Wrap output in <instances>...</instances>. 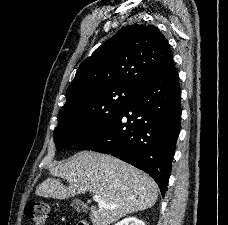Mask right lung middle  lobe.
<instances>
[{
	"label": "right lung middle lobe",
	"instance_id": "1",
	"mask_svg": "<svg viewBox=\"0 0 228 225\" xmlns=\"http://www.w3.org/2000/svg\"><path fill=\"white\" fill-rule=\"evenodd\" d=\"M135 88L115 84L93 90L65 104L58 115L54 141L58 151L78 144L102 127L126 103Z\"/></svg>",
	"mask_w": 228,
	"mask_h": 225
}]
</instances>
